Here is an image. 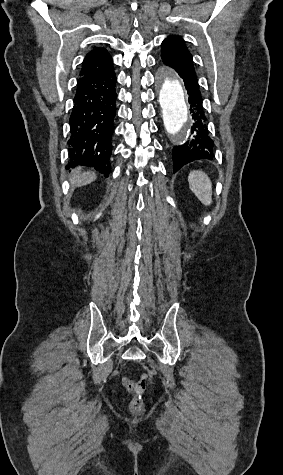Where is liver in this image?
Masks as SVG:
<instances>
[{"label": "liver", "instance_id": "1", "mask_svg": "<svg viewBox=\"0 0 283 475\" xmlns=\"http://www.w3.org/2000/svg\"><path fill=\"white\" fill-rule=\"evenodd\" d=\"M79 170H81V168L75 170L71 184H76V186L80 188V186H87V184H91V182L96 180V174H94V172H83V174H80Z\"/></svg>", "mask_w": 283, "mask_h": 475}]
</instances>
